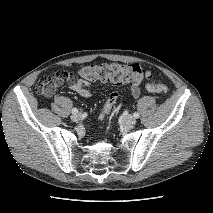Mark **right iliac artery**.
Instances as JSON below:
<instances>
[{
	"instance_id": "1",
	"label": "right iliac artery",
	"mask_w": 213,
	"mask_h": 213,
	"mask_svg": "<svg viewBox=\"0 0 213 213\" xmlns=\"http://www.w3.org/2000/svg\"><path fill=\"white\" fill-rule=\"evenodd\" d=\"M72 113H73V114H76V113H78V109H76V108H73V109H72Z\"/></svg>"
}]
</instances>
